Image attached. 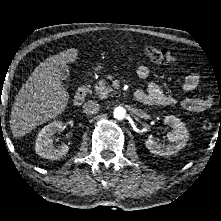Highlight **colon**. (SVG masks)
I'll list each match as a JSON object with an SVG mask.
<instances>
[{
    "label": "colon",
    "mask_w": 221,
    "mask_h": 221,
    "mask_svg": "<svg viewBox=\"0 0 221 221\" xmlns=\"http://www.w3.org/2000/svg\"><path fill=\"white\" fill-rule=\"evenodd\" d=\"M145 56L152 62L159 64H174L176 62L175 55L167 49H161L153 46L146 47L144 49ZM213 126L212 122L205 120L203 122L204 129H211Z\"/></svg>",
    "instance_id": "5ec220e1"
}]
</instances>
